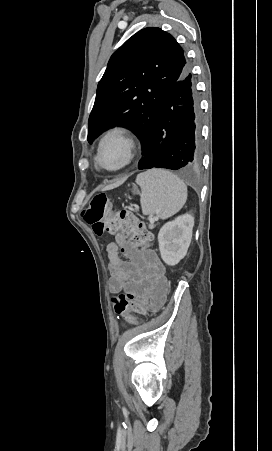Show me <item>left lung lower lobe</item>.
<instances>
[{
    "instance_id": "0a47b994",
    "label": "left lung lower lobe",
    "mask_w": 272,
    "mask_h": 451,
    "mask_svg": "<svg viewBox=\"0 0 272 451\" xmlns=\"http://www.w3.org/2000/svg\"><path fill=\"white\" fill-rule=\"evenodd\" d=\"M198 110L188 66L168 93L139 169L191 171L200 164Z\"/></svg>"
}]
</instances>
